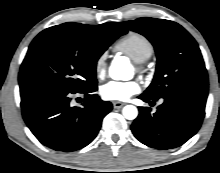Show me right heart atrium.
<instances>
[{
	"mask_svg": "<svg viewBox=\"0 0 220 173\" xmlns=\"http://www.w3.org/2000/svg\"><path fill=\"white\" fill-rule=\"evenodd\" d=\"M95 73L98 77H102L106 72V54H101L95 61Z\"/></svg>",
	"mask_w": 220,
	"mask_h": 173,
	"instance_id": "obj_1",
	"label": "right heart atrium"
}]
</instances>
